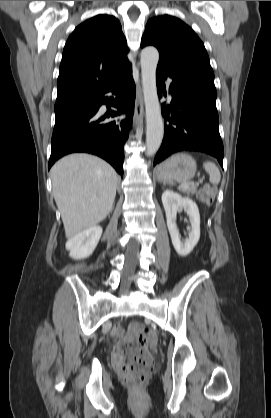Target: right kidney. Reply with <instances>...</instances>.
Instances as JSON below:
<instances>
[{
  "label": "right kidney",
  "mask_w": 271,
  "mask_h": 418,
  "mask_svg": "<svg viewBox=\"0 0 271 418\" xmlns=\"http://www.w3.org/2000/svg\"><path fill=\"white\" fill-rule=\"evenodd\" d=\"M100 226H92L78 233L66 242V249L73 259L89 257L95 250L102 235Z\"/></svg>",
  "instance_id": "ca27d5eb"
}]
</instances>
